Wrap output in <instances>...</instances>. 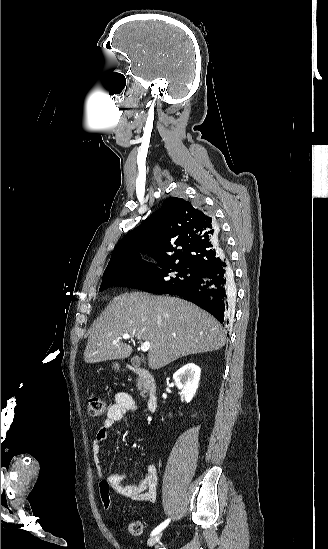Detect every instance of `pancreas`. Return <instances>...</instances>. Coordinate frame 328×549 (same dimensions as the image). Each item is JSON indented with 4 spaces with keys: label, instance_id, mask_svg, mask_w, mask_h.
Masks as SVG:
<instances>
[{
    "label": "pancreas",
    "instance_id": "cf45deb5",
    "mask_svg": "<svg viewBox=\"0 0 328 549\" xmlns=\"http://www.w3.org/2000/svg\"><path fill=\"white\" fill-rule=\"evenodd\" d=\"M136 387H138V391H141V395H145L146 387H145V383H144L143 379H141V377H139Z\"/></svg>",
    "mask_w": 328,
    "mask_h": 549
}]
</instances>
